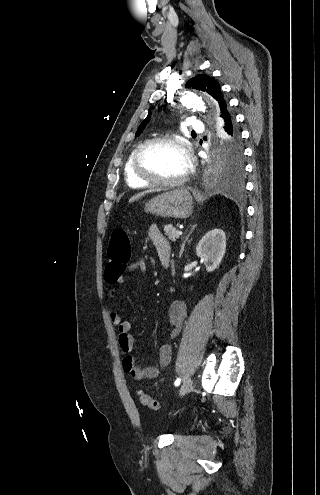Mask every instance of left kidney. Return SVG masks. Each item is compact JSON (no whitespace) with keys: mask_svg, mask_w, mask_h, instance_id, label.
<instances>
[{"mask_svg":"<svg viewBox=\"0 0 320 495\" xmlns=\"http://www.w3.org/2000/svg\"><path fill=\"white\" fill-rule=\"evenodd\" d=\"M226 251V235L221 229L206 233L196 247V254L211 272L221 263Z\"/></svg>","mask_w":320,"mask_h":495,"instance_id":"left-kidney-1","label":"left kidney"}]
</instances>
